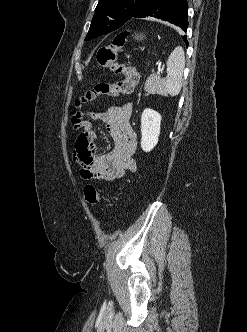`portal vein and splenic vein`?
<instances>
[{"label": "portal vein and splenic vein", "instance_id": "1", "mask_svg": "<svg viewBox=\"0 0 247 332\" xmlns=\"http://www.w3.org/2000/svg\"><path fill=\"white\" fill-rule=\"evenodd\" d=\"M160 73H162V70H158L157 74H160Z\"/></svg>", "mask_w": 247, "mask_h": 332}]
</instances>
